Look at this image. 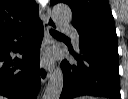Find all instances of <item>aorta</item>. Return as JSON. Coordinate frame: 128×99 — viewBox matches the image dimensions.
Returning a JSON list of instances; mask_svg holds the SVG:
<instances>
[{
	"label": "aorta",
	"instance_id": "obj_1",
	"mask_svg": "<svg viewBox=\"0 0 128 99\" xmlns=\"http://www.w3.org/2000/svg\"><path fill=\"white\" fill-rule=\"evenodd\" d=\"M52 14L58 24H67L72 18L68 5L59 3L52 9ZM63 88V73L61 68H56L50 76L43 99H59Z\"/></svg>",
	"mask_w": 128,
	"mask_h": 99
}]
</instances>
